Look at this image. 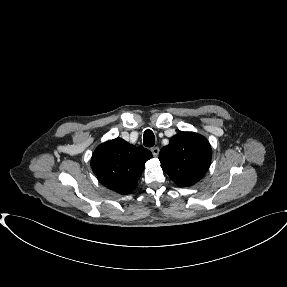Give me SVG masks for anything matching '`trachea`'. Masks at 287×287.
I'll list each match as a JSON object with an SVG mask.
<instances>
[{
    "instance_id": "3493384b",
    "label": "trachea",
    "mask_w": 287,
    "mask_h": 287,
    "mask_svg": "<svg viewBox=\"0 0 287 287\" xmlns=\"http://www.w3.org/2000/svg\"><path fill=\"white\" fill-rule=\"evenodd\" d=\"M143 144L146 147H153L155 145V136L154 133L147 129L143 135Z\"/></svg>"
}]
</instances>
